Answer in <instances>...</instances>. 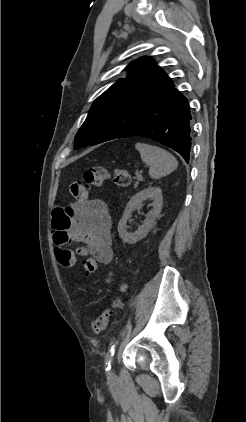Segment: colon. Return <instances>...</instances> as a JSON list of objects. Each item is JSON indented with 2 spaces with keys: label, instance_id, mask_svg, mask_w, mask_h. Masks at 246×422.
Wrapping results in <instances>:
<instances>
[{
  "label": "colon",
  "instance_id": "colon-1",
  "mask_svg": "<svg viewBox=\"0 0 246 422\" xmlns=\"http://www.w3.org/2000/svg\"><path fill=\"white\" fill-rule=\"evenodd\" d=\"M109 178V171L105 166H91L84 173V180H75L69 185V193L75 199L86 200L92 188L101 186ZM114 181L117 185L126 187L130 184L131 177L127 170L118 169L115 171ZM56 258L60 265L72 267L77 262V256L69 249H60L56 251ZM83 267L86 274H92L97 270V261L92 258L83 261ZM120 304L119 299H115L110 307L105 309L100 316L91 322L93 333L98 334L105 330L109 319Z\"/></svg>",
  "mask_w": 246,
  "mask_h": 422
}]
</instances>
